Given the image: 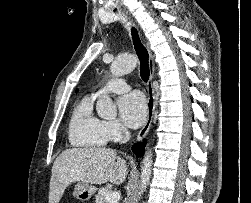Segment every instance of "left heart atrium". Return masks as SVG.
<instances>
[{"label": "left heart atrium", "mask_w": 251, "mask_h": 203, "mask_svg": "<svg viewBox=\"0 0 251 203\" xmlns=\"http://www.w3.org/2000/svg\"><path fill=\"white\" fill-rule=\"evenodd\" d=\"M118 108L122 119L132 128H138L146 120L147 104L144 96L139 92H132L121 97Z\"/></svg>", "instance_id": "left-heart-atrium-1"}]
</instances>
